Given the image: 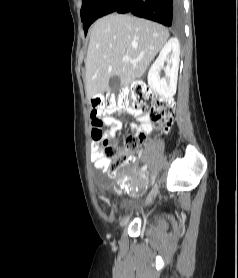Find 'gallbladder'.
Returning <instances> with one entry per match:
<instances>
[{
	"instance_id": "1",
	"label": "gallbladder",
	"mask_w": 238,
	"mask_h": 278,
	"mask_svg": "<svg viewBox=\"0 0 238 278\" xmlns=\"http://www.w3.org/2000/svg\"><path fill=\"white\" fill-rule=\"evenodd\" d=\"M120 78L118 76H112L110 79H109V85L112 87V88H117L119 87L120 85Z\"/></svg>"
}]
</instances>
